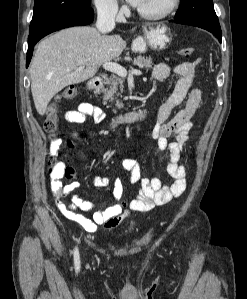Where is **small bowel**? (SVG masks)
<instances>
[{"label": "small bowel", "instance_id": "small-bowel-1", "mask_svg": "<svg viewBox=\"0 0 247 299\" xmlns=\"http://www.w3.org/2000/svg\"><path fill=\"white\" fill-rule=\"evenodd\" d=\"M200 60L183 62L173 69L166 63H158L154 66L152 76L158 82H164L171 74L175 73L179 79L170 96L160 105L156 124L152 136L157 141L160 150L169 151V162L167 172L173 179L172 182L164 184L159 178H146L141 176V170L134 159H124L121 162V170L129 175L132 184H139V191L134 199L126 202L122 199L123 183L120 179H115L113 185L114 201L96 209V204L84 199L77 194L80 187L79 182L73 181L63 185L58 178L53 176L51 189L59 211L69 220L76 222L89 233H94L99 227L110 230L117 227L130 212L145 211L154 205H162L171 199L179 197L186 188L187 169L180 163V159L188 139V134L192 128V118L200 109L203 103L202 93L194 86L197 66ZM185 101V107L180 110L172 119V112ZM105 114L102 109L88 102L79 104L76 110L68 111L64 118L73 124H82L88 118H93L100 122ZM174 136V141L169 142V137ZM61 140L58 139L54 146L57 155ZM63 166L59 164V168ZM94 186L107 188L111 185L108 177L95 176ZM72 195L70 203L64 201ZM79 210L89 213V217Z\"/></svg>", "mask_w": 247, "mask_h": 299}]
</instances>
